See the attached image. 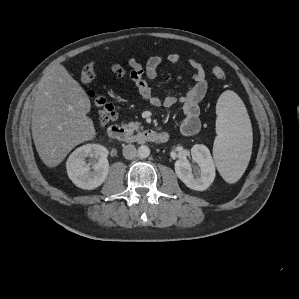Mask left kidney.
<instances>
[{
    "instance_id": "1",
    "label": "left kidney",
    "mask_w": 299,
    "mask_h": 299,
    "mask_svg": "<svg viewBox=\"0 0 299 299\" xmlns=\"http://www.w3.org/2000/svg\"><path fill=\"white\" fill-rule=\"evenodd\" d=\"M191 158L197 164L191 166L188 159L175 162V172L178 178L190 189L206 190L214 181L215 165L209 149L203 144H195L191 148Z\"/></svg>"
}]
</instances>
